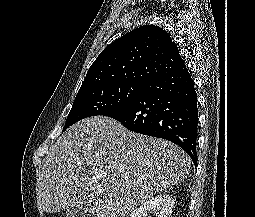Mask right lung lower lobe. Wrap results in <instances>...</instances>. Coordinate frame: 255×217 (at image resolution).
Listing matches in <instances>:
<instances>
[{"label": "right lung lower lobe", "mask_w": 255, "mask_h": 217, "mask_svg": "<svg viewBox=\"0 0 255 217\" xmlns=\"http://www.w3.org/2000/svg\"><path fill=\"white\" fill-rule=\"evenodd\" d=\"M127 129L178 144L197 163V94L186 67L160 76L129 104L103 114Z\"/></svg>", "instance_id": "right-lung-lower-lobe-1"}]
</instances>
